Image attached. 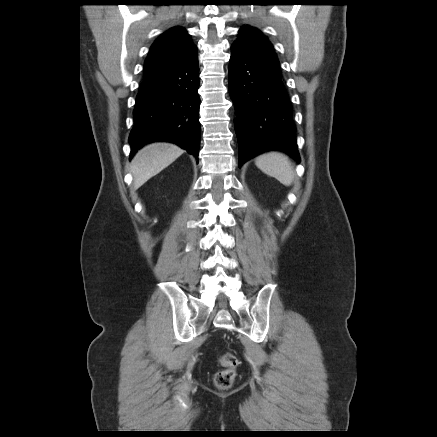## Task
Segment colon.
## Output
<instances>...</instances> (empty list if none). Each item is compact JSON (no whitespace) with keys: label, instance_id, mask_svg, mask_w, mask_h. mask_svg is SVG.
Listing matches in <instances>:
<instances>
[{"label":"colon","instance_id":"colon-1","mask_svg":"<svg viewBox=\"0 0 437 437\" xmlns=\"http://www.w3.org/2000/svg\"><path fill=\"white\" fill-rule=\"evenodd\" d=\"M220 363L223 369L215 374L214 381L218 388L227 389L234 382L239 360L235 354L225 353L221 356Z\"/></svg>","mask_w":437,"mask_h":437}]
</instances>
